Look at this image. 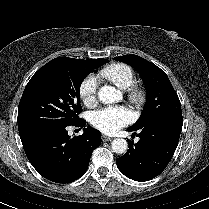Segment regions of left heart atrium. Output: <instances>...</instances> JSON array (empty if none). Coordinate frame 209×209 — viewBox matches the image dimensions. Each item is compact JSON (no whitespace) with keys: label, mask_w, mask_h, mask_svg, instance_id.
I'll use <instances>...</instances> for the list:
<instances>
[{"label":"left heart atrium","mask_w":209,"mask_h":209,"mask_svg":"<svg viewBox=\"0 0 209 209\" xmlns=\"http://www.w3.org/2000/svg\"><path fill=\"white\" fill-rule=\"evenodd\" d=\"M133 118L134 115L129 109L122 106H109L94 111L91 114L90 122L104 133H114L129 124Z\"/></svg>","instance_id":"left-heart-atrium-1"}]
</instances>
